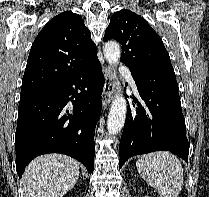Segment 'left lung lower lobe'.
<instances>
[{
    "label": "left lung lower lobe",
    "mask_w": 209,
    "mask_h": 197,
    "mask_svg": "<svg viewBox=\"0 0 209 197\" xmlns=\"http://www.w3.org/2000/svg\"><path fill=\"white\" fill-rule=\"evenodd\" d=\"M143 103L128 109L121 136L120 168L132 156L170 151L186 162L189 142L177 82H155L133 75Z\"/></svg>",
    "instance_id": "left-lung-lower-lobe-1"
}]
</instances>
